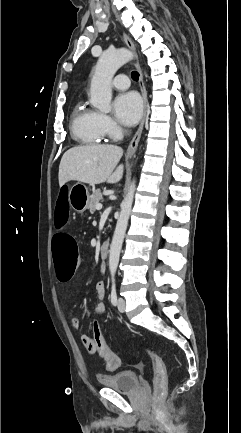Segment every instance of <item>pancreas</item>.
<instances>
[{
  "label": "pancreas",
  "mask_w": 241,
  "mask_h": 433,
  "mask_svg": "<svg viewBox=\"0 0 241 433\" xmlns=\"http://www.w3.org/2000/svg\"><path fill=\"white\" fill-rule=\"evenodd\" d=\"M102 200V193L100 190H97L89 199L88 209L91 213L95 212L96 205L99 204Z\"/></svg>",
  "instance_id": "cf45deb5"
}]
</instances>
